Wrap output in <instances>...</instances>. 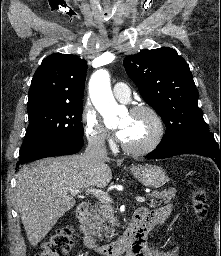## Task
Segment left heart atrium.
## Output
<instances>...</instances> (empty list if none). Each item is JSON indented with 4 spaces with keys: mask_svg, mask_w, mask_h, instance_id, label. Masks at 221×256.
Wrapping results in <instances>:
<instances>
[{
    "mask_svg": "<svg viewBox=\"0 0 221 256\" xmlns=\"http://www.w3.org/2000/svg\"><path fill=\"white\" fill-rule=\"evenodd\" d=\"M128 135V129L127 128H121L119 131H117L116 136L118 139L124 141Z\"/></svg>",
    "mask_w": 221,
    "mask_h": 256,
    "instance_id": "39dd6f15",
    "label": "left heart atrium"
}]
</instances>
